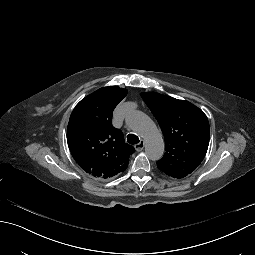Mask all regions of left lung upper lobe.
<instances>
[{"label": "left lung upper lobe", "mask_w": 255, "mask_h": 255, "mask_svg": "<svg viewBox=\"0 0 255 255\" xmlns=\"http://www.w3.org/2000/svg\"><path fill=\"white\" fill-rule=\"evenodd\" d=\"M143 100L157 119L165 139L166 152L158 168L173 178H183L204 159L210 127L201 109L185 100L158 93H142Z\"/></svg>", "instance_id": "1"}]
</instances>
